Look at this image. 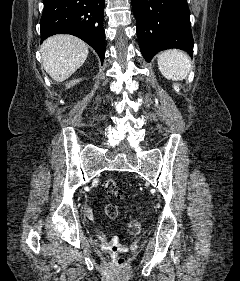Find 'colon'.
<instances>
[{"instance_id": "5ec220e1", "label": "colon", "mask_w": 240, "mask_h": 281, "mask_svg": "<svg viewBox=\"0 0 240 281\" xmlns=\"http://www.w3.org/2000/svg\"><path fill=\"white\" fill-rule=\"evenodd\" d=\"M105 191L108 195H114L118 199L123 197V191L118 188L114 179H108L105 182ZM104 211L109 218H116L119 213L117 205L113 202H107ZM128 230L132 234L139 233L141 230V223L138 220H131L128 223ZM107 253L113 265L117 267L125 265L126 259L122 256L123 251L119 243L110 244L107 248Z\"/></svg>"}]
</instances>
